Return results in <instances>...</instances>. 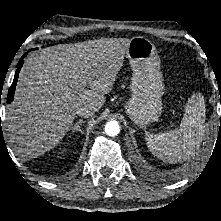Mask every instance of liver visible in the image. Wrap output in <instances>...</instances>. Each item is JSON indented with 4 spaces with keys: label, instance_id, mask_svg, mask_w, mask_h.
I'll use <instances>...</instances> for the list:
<instances>
[{
    "label": "liver",
    "instance_id": "6515ba94",
    "mask_svg": "<svg viewBox=\"0 0 221 221\" xmlns=\"http://www.w3.org/2000/svg\"><path fill=\"white\" fill-rule=\"evenodd\" d=\"M129 43L128 38H104L59 44L27 58L6 125L20 157L37 158L55 148L81 105L96 111L103 106Z\"/></svg>",
    "mask_w": 221,
    "mask_h": 221
}]
</instances>
